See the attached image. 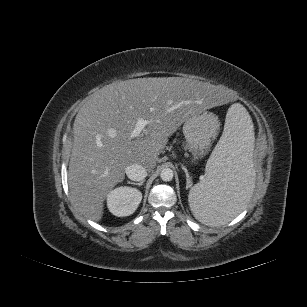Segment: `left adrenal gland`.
Returning <instances> with one entry per match:
<instances>
[{
  "label": "left adrenal gland",
  "instance_id": "obj_1",
  "mask_svg": "<svg viewBox=\"0 0 307 307\" xmlns=\"http://www.w3.org/2000/svg\"><path fill=\"white\" fill-rule=\"evenodd\" d=\"M183 170H184L185 175H186V184H187V188H188V187H190L191 178H190V175L188 173V170L185 167H183Z\"/></svg>",
  "mask_w": 307,
  "mask_h": 307
}]
</instances>
